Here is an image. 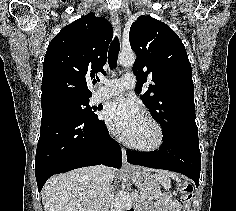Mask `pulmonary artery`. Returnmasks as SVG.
<instances>
[{"label":"pulmonary artery","mask_w":236,"mask_h":211,"mask_svg":"<svg viewBox=\"0 0 236 211\" xmlns=\"http://www.w3.org/2000/svg\"><path fill=\"white\" fill-rule=\"evenodd\" d=\"M136 86V78L133 74H124L121 78L105 81L93 95L94 102L115 96L122 91Z\"/></svg>","instance_id":"obj_1"}]
</instances>
